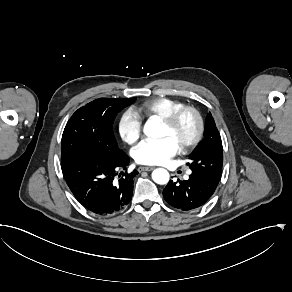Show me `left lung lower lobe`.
Returning a JSON list of instances; mask_svg holds the SVG:
<instances>
[{"instance_id":"obj_1","label":"left lung lower lobe","mask_w":292,"mask_h":292,"mask_svg":"<svg viewBox=\"0 0 292 292\" xmlns=\"http://www.w3.org/2000/svg\"><path fill=\"white\" fill-rule=\"evenodd\" d=\"M219 181L191 174L188 180L169 181L163 197L172 207L190 211L204 205L213 195Z\"/></svg>"}]
</instances>
